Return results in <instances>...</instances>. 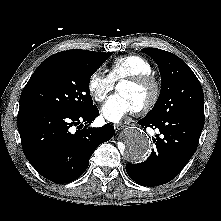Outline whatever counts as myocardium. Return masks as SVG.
Returning a JSON list of instances; mask_svg holds the SVG:
<instances>
[{
  "instance_id": "myocardium-1",
  "label": "myocardium",
  "mask_w": 221,
  "mask_h": 221,
  "mask_svg": "<svg viewBox=\"0 0 221 221\" xmlns=\"http://www.w3.org/2000/svg\"><path fill=\"white\" fill-rule=\"evenodd\" d=\"M128 83L131 85H138V86H150L152 89V95L150 99L143 104L142 106L135 109L136 113H147L151 111L159 101L160 94H161V87L158 80L152 74H142V75H135L131 77L124 78L120 80V83Z\"/></svg>"
}]
</instances>
